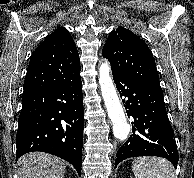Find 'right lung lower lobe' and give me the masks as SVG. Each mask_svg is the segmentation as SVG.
Returning <instances> with one entry per match:
<instances>
[{
    "label": "right lung lower lobe",
    "mask_w": 194,
    "mask_h": 178,
    "mask_svg": "<svg viewBox=\"0 0 194 178\" xmlns=\"http://www.w3.org/2000/svg\"><path fill=\"white\" fill-rule=\"evenodd\" d=\"M84 112L81 78L23 94L16 160L43 151L71 163L81 174Z\"/></svg>",
    "instance_id": "obj_1"
}]
</instances>
